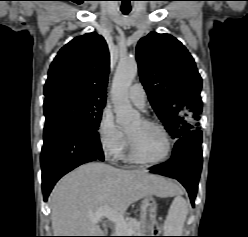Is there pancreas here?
<instances>
[{"label":"pancreas","mask_w":248,"mask_h":237,"mask_svg":"<svg viewBox=\"0 0 248 237\" xmlns=\"http://www.w3.org/2000/svg\"><path fill=\"white\" fill-rule=\"evenodd\" d=\"M126 228H117L115 230L116 236H140L144 233V226L140 221L130 219L126 221Z\"/></svg>","instance_id":"cf45deb5"}]
</instances>
